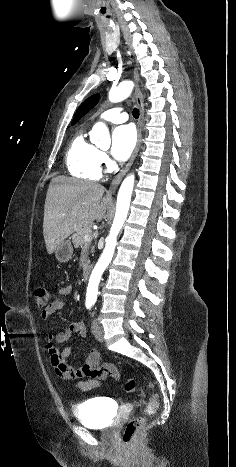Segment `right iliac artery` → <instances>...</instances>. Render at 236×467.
I'll return each instance as SVG.
<instances>
[{"mask_svg":"<svg viewBox=\"0 0 236 467\" xmlns=\"http://www.w3.org/2000/svg\"><path fill=\"white\" fill-rule=\"evenodd\" d=\"M92 305H93L92 303H89V302H88V303H86V308L90 310L91 307H92Z\"/></svg>","mask_w":236,"mask_h":467,"instance_id":"82829eb1","label":"right iliac artery"}]
</instances>
